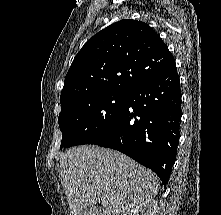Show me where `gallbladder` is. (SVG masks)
Masks as SVG:
<instances>
[{"mask_svg":"<svg viewBox=\"0 0 221 215\" xmlns=\"http://www.w3.org/2000/svg\"><path fill=\"white\" fill-rule=\"evenodd\" d=\"M100 211H101L100 207L93 205L85 209L83 215H100Z\"/></svg>","mask_w":221,"mask_h":215,"instance_id":"1","label":"gallbladder"}]
</instances>
